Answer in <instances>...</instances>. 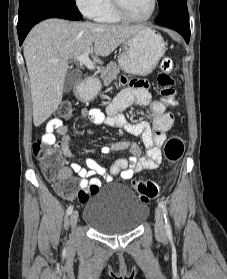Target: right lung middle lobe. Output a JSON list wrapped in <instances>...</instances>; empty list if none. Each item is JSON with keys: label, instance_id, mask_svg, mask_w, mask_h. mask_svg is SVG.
Returning a JSON list of instances; mask_svg holds the SVG:
<instances>
[{"label": "right lung middle lobe", "instance_id": "right-lung-middle-lobe-1", "mask_svg": "<svg viewBox=\"0 0 227 279\" xmlns=\"http://www.w3.org/2000/svg\"><path fill=\"white\" fill-rule=\"evenodd\" d=\"M23 1H25V0H20V3ZM64 1H67V2L75 5V0H64Z\"/></svg>", "mask_w": 227, "mask_h": 279}]
</instances>
